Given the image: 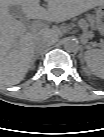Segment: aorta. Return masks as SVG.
Wrapping results in <instances>:
<instances>
[{
  "label": "aorta",
  "mask_w": 104,
  "mask_h": 137,
  "mask_svg": "<svg viewBox=\"0 0 104 137\" xmlns=\"http://www.w3.org/2000/svg\"><path fill=\"white\" fill-rule=\"evenodd\" d=\"M62 46L67 52H76L79 48L78 41L73 38H64L62 40Z\"/></svg>",
  "instance_id": "obj_1"
}]
</instances>
